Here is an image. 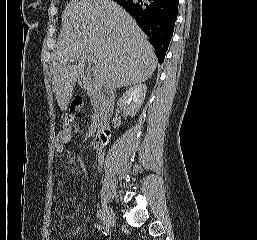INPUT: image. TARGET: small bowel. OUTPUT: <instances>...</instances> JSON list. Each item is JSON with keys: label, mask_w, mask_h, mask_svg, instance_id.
<instances>
[{"label": "small bowel", "mask_w": 257, "mask_h": 240, "mask_svg": "<svg viewBox=\"0 0 257 240\" xmlns=\"http://www.w3.org/2000/svg\"><path fill=\"white\" fill-rule=\"evenodd\" d=\"M72 137V130L69 125H65L56 135L55 148L58 153H63L66 143Z\"/></svg>", "instance_id": "obj_1"}]
</instances>
